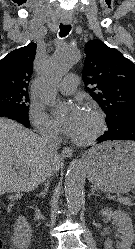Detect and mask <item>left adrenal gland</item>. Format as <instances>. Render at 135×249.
<instances>
[{"label":"left adrenal gland","instance_id":"left-adrenal-gland-1","mask_svg":"<svg viewBox=\"0 0 135 249\" xmlns=\"http://www.w3.org/2000/svg\"><path fill=\"white\" fill-rule=\"evenodd\" d=\"M93 195L97 196V194H95L94 192V189L92 188L91 192L88 194V198H90V196H93Z\"/></svg>","mask_w":135,"mask_h":249}]
</instances>
